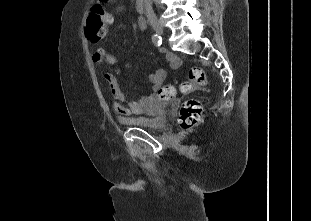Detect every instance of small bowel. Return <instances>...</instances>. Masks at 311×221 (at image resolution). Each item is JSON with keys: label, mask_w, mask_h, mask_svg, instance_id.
Returning a JSON list of instances; mask_svg holds the SVG:
<instances>
[{"label": "small bowel", "mask_w": 311, "mask_h": 221, "mask_svg": "<svg viewBox=\"0 0 311 221\" xmlns=\"http://www.w3.org/2000/svg\"><path fill=\"white\" fill-rule=\"evenodd\" d=\"M169 60L172 63L175 62V58L173 56H169ZM93 62L98 67H102L104 64L113 65L116 63V57L113 56L106 47H98L93 54ZM104 78L109 85V90L113 97L111 107L117 115L121 117H129L144 113L150 100L149 96L141 97L136 101L127 102L123 92L119 87L116 75L111 72H105ZM165 78L166 71L162 68L157 69L149 75V80L152 83L154 89L161 87Z\"/></svg>", "instance_id": "1"}]
</instances>
